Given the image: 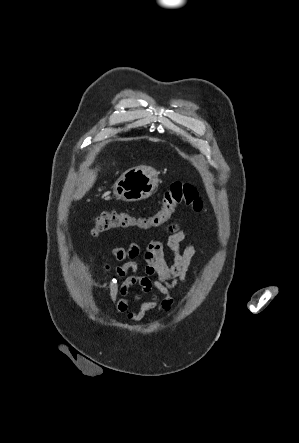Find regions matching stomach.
Listing matches in <instances>:
<instances>
[{
    "instance_id": "0dacf381",
    "label": "stomach",
    "mask_w": 299,
    "mask_h": 443,
    "mask_svg": "<svg viewBox=\"0 0 299 443\" xmlns=\"http://www.w3.org/2000/svg\"><path fill=\"white\" fill-rule=\"evenodd\" d=\"M158 182V173L153 168L133 167L117 179L113 185V193L123 201L136 202L151 196Z\"/></svg>"
}]
</instances>
